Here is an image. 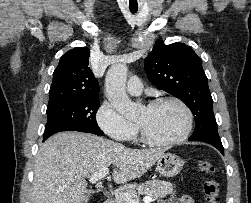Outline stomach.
<instances>
[{
    "label": "stomach",
    "mask_w": 251,
    "mask_h": 203,
    "mask_svg": "<svg viewBox=\"0 0 251 203\" xmlns=\"http://www.w3.org/2000/svg\"><path fill=\"white\" fill-rule=\"evenodd\" d=\"M184 165L183 160L172 153H164L157 160L156 169L165 177H173L180 173Z\"/></svg>",
    "instance_id": "stomach-1"
}]
</instances>
